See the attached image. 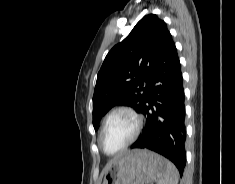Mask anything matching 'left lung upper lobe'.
Segmentation results:
<instances>
[{"label":"left lung upper lobe","instance_id":"obj_1","mask_svg":"<svg viewBox=\"0 0 235 184\" xmlns=\"http://www.w3.org/2000/svg\"><path fill=\"white\" fill-rule=\"evenodd\" d=\"M166 23L155 14L143 17L130 34L107 54L93 95V126L115 105L140 112L166 37Z\"/></svg>","mask_w":235,"mask_h":184}]
</instances>
